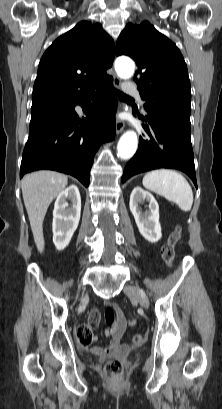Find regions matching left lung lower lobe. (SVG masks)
<instances>
[{
    "label": "left lung lower lobe",
    "instance_id": "left-lung-lower-lobe-1",
    "mask_svg": "<svg viewBox=\"0 0 222 409\" xmlns=\"http://www.w3.org/2000/svg\"><path fill=\"white\" fill-rule=\"evenodd\" d=\"M142 117L148 135L139 137V148L127 163L122 183L141 172L172 168L186 173L197 187L194 154L190 139V114L178 104L157 106Z\"/></svg>",
    "mask_w": 222,
    "mask_h": 409
}]
</instances>
